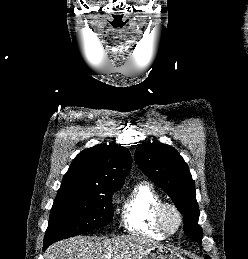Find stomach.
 Returning <instances> with one entry per match:
<instances>
[{"instance_id": "obj_1", "label": "stomach", "mask_w": 248, "mask_h": 259, "mask_svg": "<svg viewBox=\"0 0 248 259\" xmlns=\"http://www.w3.org/2000/svg\"><path fill=\"white\" fill-rule=\"evenodd\" d=\"M140 259H185L181 254L175 250L159 246L152 248L146 252Z\"/></svg>"}]
</instances>
